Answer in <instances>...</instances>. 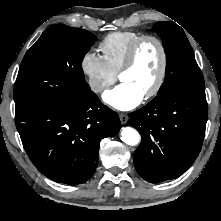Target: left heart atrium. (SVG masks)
<instances>
[{
	"instance_id": "left-heart-atrium-1",
	"label": "left heart atrium",
	"mask_w": 221,
	"mask_h": 221,
	"mask_svg": "<svg viewBox=\"0 0 221 221\" xmlns=\"http://www.w3.org/2000/svg\"><path fill=\"white\" fill-rule=\"evenodd\" d=\"M143 93L134 85L123 82L103 95L106 104L115 109L126 111L136 107L143 99Z\"/></svg>"
}]
</instances>
